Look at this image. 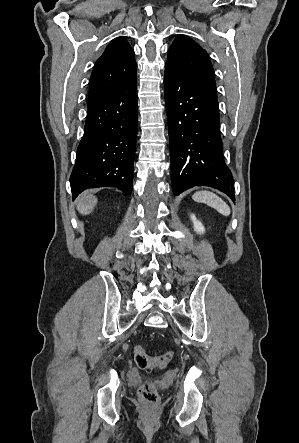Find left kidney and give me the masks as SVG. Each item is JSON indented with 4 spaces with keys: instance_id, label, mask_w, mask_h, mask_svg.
Returning <instances> with one entry per match:
<instances>
[{
    "instance_id": "5707ae66",
    "label": "left kidney",
    "mask_w": 299,
    "mask_h": 443,
    "mask_svg": "<svg viewBox=\"0 0 299 443\" xmlns=\"http://www.w3.org/2000/svg\"><path fill=\"white\" fill-rule=\"evenodd\" d=\"M191 220L193 222L194 231L198 234H203L205 232V228L203 224L199 220H197L194 214H191Z\"/></svg>"
}]
</instances>
